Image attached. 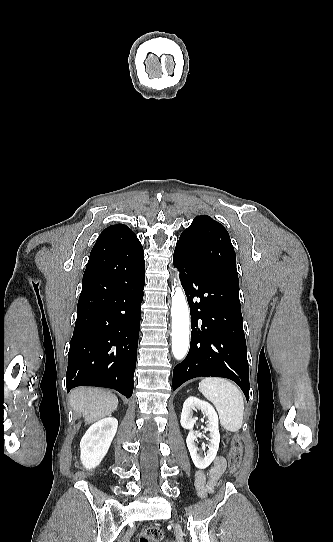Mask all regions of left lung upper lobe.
<instances>
[{
	"label": "left lung upper lobe",
	"instance_id": "5c2ea615",
	"mask_svg": "<svg viewBox=\"0 0 333 542\" xmlns=\"http://www.w3.org/2000/svg\"><path fill=\"white\" fill-rule=\"evenodd\" d=\"M194 265L238 280L236 255L225 227L208 215L197 216L177 244Z\"/></svg>",
	"mask_w": 333,
	"mask_h": 542
}]
</instances>
